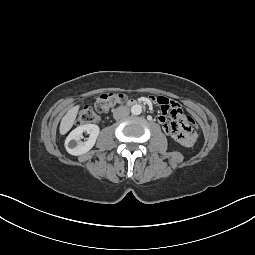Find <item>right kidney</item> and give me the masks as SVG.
<instances>
[{
	"label": "right kidney",
	"mask_w": 255,
	"mask_h": 255,
	"mask_svg": "<svg viewBox=\"0 0 255 255\" xmlns=\"http://www.w3.org/2000/svg\"><path fill=\"white\" fill-rule=\"evenodd\" d=\"M99 127L95 124H85L75 128L65 140V148L71 155L78 156L88 152L95 145L99 135ZM83 132H87V141L82 142Z\"/></svg>",
	"instance_id": "obj_1"
}]
</instances>
